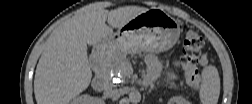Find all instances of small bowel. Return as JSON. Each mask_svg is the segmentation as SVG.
<instances>
[{"mask_svg":"<svg viewBox=\"0 0 252 104\" xmlns=\"http://www.w3.org/2000/svg\"><path fill=\"white\" fill-rule=\"evenodd\" d=\"M146 62L148 66L146 81L152 82L161 74V67L157 58L152 55L147 57ZM170 77H174V75L170 74Z\"/></svg>","mask_w":252,"mask_h":104,"instance_id":"obj_1","label":"small bowel"}]
</instances>
